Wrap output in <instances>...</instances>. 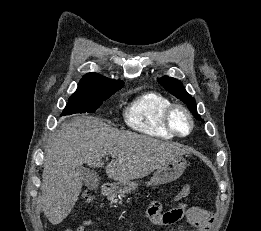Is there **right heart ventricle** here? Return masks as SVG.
Instances as JSON below:
<instances>
[{
    "label": "right heart ventricle",
    "mask_w": 261,
    "mask_h": 231,
    "mask_svg": "<svg viewBox=\"0 0 261 231\" xmlns=\"http://www.w3.org/2000/svg\"><path fill=\"white\" fill-rule=\"evenodd\" d=\"M171 105V100L164 95L154 92L144 93L125 108L123 119L129 128L144 135L173 139L174 135L164 124V114Z\"/></svg>",
    "instance_id": "e07e8e85"
}]
</instances>
